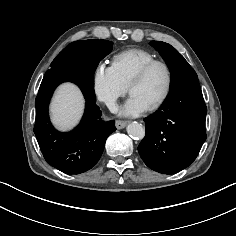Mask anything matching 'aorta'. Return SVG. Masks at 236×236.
<instances>
[{
  "label": "aorta",
  "instance_id": "obj_1",
  "mask_svg": "<svg viewBox=\"0 0 236 236\" xmlns=\"http://www.w3.org/2000/svg\"><path fill=\"white\" fill-rule=\"evenodd\" d=\"M127 133L131 138L141 140L145 136V128L142 124L132 122L127 126Z\"/></svg>",
  "mask_w": 236,
  "mask_h": 236
}]
</instances>
